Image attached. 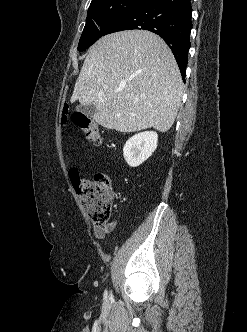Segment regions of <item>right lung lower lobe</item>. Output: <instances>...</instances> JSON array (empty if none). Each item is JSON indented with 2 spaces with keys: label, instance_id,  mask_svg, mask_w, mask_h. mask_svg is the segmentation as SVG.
<instances>
[{
  "label": "right lung lower lobe",
  "instance_id": "obj_1",
  "mask_svg": "<svg viewBox=\"0 0 247 332\" xmlns=\"http://www.w3.org/2000/svg\"><path fill=\"white\" fill-rule=\"evenodd\" d=\"M190 0H146L115 21L105 35L132 29H143L158 34L172 50L185 81L189 37L192 29Z\"/></svg>",
  "mask_w": 247,
  "mask_h": 332
}]
</instances>
